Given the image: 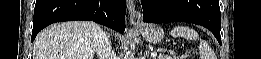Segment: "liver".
I'll list each match as a JSON object with an SVG mask.
<instances>
[{"label": "liver", "mask_w": 261, "mask_h": 59, "mask_svg": "<svg viewBox=\"0 0 261 59\" xmlns=\"http://www.w3.org/2000/svg\"><path fill=\"white\" fill-rule=\"evenodd\" d=\"M93 22H64L41 31L34 42L33 59H93Z\"/></svg>", "instance_id": "obj_1"}]
</instances>
